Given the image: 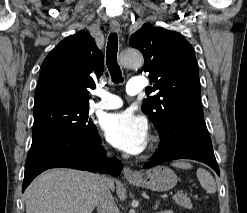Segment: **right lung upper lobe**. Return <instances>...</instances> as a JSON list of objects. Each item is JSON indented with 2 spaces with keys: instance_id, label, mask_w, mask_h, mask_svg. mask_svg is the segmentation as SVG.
I'll return each mask as SVG.
<instances>
[{
  "instance_id": "1",
  "label": "right lung upper lobe",
  "mask_w": 247,
  "mask_h": 213,
  "mask_svg": "<svg viewBox=\"0 0 247 213\" xmlns=\"http://www.w3.org/2000/svg\"><path fill=\"white\" fill-rule=\"evenodd\" d=\"M103 71V54L91 35L68 36L44 60L33 110L53 103L88 106L89 89Z\"/></svg>"
}]
</instances>
